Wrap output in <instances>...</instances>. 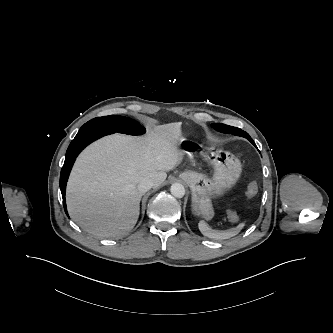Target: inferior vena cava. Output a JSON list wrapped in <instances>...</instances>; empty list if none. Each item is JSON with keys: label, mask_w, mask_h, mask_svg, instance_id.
I'll list each match as a JSON object with an SVG mask.
<instances>
[{"label": "inferior vena cava", "mask_w": 333, "mask_h": 333, "mask_svg": "<svg viewBox=\"0 0 333 333\" xmlns=\"http://www.w3.org/2000/svg\"><path fill=\"white\" fill-rule=\"evenodd\" d=\"M153 187V182L149 178L142 179L138 184V189L140 192L145 193Z\"/></svg>", "instance_id": "inferior-vena-cava-1"}]
</instances>
